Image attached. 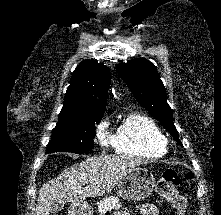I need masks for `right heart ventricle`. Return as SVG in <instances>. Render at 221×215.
<instances>
[{"label":"right heart ventricle","mask_w":221,"mask_h":215,"mask_svg":"<svg viewBox=\"0 0 221 215\" xmlns=\"http://www.w3.org/2000/svg\"><path fill=\"white\" fill-rule=\"evenodd\" d=\"M162 131L150 116L134 112L127 115L113 135L115 152L147 158L161 157L166 153Z\"/></svg>","instance_id":"obj_1"}]
</instances>
